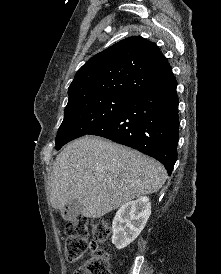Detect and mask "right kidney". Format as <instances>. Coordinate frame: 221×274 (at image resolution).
<instances>
[{
	"label": "right kidney",
	"instance_id": "obj_1",
	"mask_svg": "<svg viewBox=\"0 0 221 274\" xmlns=\"http://www.w3.org/2000/svg\"><path fill=\"white\" fill-rule=\"evenodd\" d=\"M151 214V202L146 196L122 205L112 223V243L123 249L133 242L145 227Z\"/></svg>",
	"mask_w": 221,
	"mask_h": 274
}]
</instances>
